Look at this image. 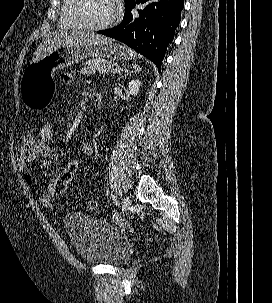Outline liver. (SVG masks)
<instances>
[{"mask_svg":"<svg viewBox=\"0 0 272 303\" xmlns=\"http://www.w3.org/2000/svg\"><path fill=\"white\" fill-rule=\"evenodd\" d=\"M109 38L89 31H57L50 34L38 46L31 63L39 61L44 56L48 55L54 50L59 49L61 46L78 45V44H91L96 41H106Z\"/></svg>","mask_w":272,"mask_h":303,"instance_id":"liver-1","label":"liver"}]
</instances>
